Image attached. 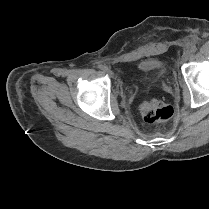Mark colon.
<instances>
[{"mask_svg": "<svg viewBox=\"0 0 209 209\" xmlns=\"http://www.w3.org/2000/svg\"><path fill=\"white\" fill-rule=\"evenodd\" d=\"M140 112L143 120L149 124L166 123L173 116V108L162 101L152 99L142 103Z\"/></svg>", "mask_w": 209, "mask_h": 209, "instance_id": "5ec220e1", "label": "colon"}]
</instances>
